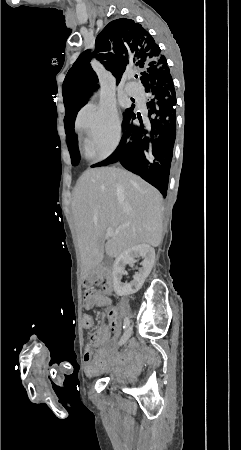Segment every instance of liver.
I'll return each instance as SVG.
<instances>
[{
    "mask_svg": "<svg viewBox=\"0 0 241 450\" xmlns=\"http://www.w3.org/2000/svg\"><path fill=\"white\" fill-rule=\"evenodd\" d=\"M162 200L156 188L126 170L92 168L83 172L72 202L83 280L99 266L104 252L117 258L138 244L160 246ZM107 228L118 234L104 244Z\"/></svg>",
    "mask_w": 241,
    "mask_h": 450,
    "instance_id": "6515ba94",
    "label": "liver"
}]
</instances>
